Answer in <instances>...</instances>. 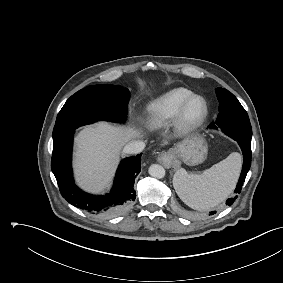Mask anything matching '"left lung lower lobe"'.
Here are the masks:
<instances>
[{"label":"left lung lower lobe","instance_id":"obj_1","mask_svg":"<svg viewBox=\"0 0 283 283\" xmlns=\"http://www.w3.org/2000/svg\"><path fill=\"white\" fill-rule=\"evenodd\" d=\"M242 153H243V166H242V171L239 177V181L237 183V186L234 190V193L238 194L241 192L242 189V185L243 182L245 181L246 175L250 169V165H251V139H244V140H238L237 141ZM237 198V195L234 198H229L226 201L227 205H231L233 203V201ZM215 211H212L211 214H214Z\"/></svg>","mask_w":283,"mask_h":283}]
</instances>
